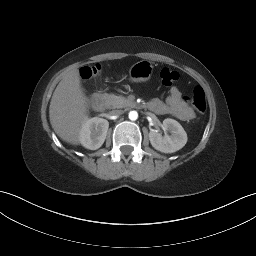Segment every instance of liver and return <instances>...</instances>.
<instances>
[{
    "mask_svg": "<svg viewBox=\"0 0 256 256\" xmlns=\"http://www.w3.org/2000/svg\"><path fill=\"white\" fill-rule=\"evenodd\" d=\"M89 111L78 69H72L57 85L49 106L50 123L65 142L80 144V132Z\"/></svg>",
    "mask_w": 256,
    "mask_h": 256,
    "instance_id": "6515ba94",
    "label": "liver"
}]
</instances>
